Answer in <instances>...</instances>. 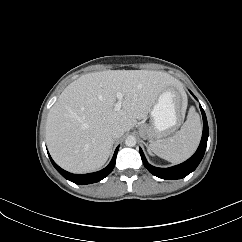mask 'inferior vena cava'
Masks as SVG:
<instances>
[{"mask_svg":"<svg viewBox=\"0 0 242 242\" xmlns=\"http://www.w3.org/2000/svg\"><path fill=\"white\" fill-rule=\"evenodd\" d=\"M124 134V130L120 126H114L110 129V135L113 139L120 138Z\"/></svg>","mask_w":242,"mask_h":242,"instance_id":"602c4592","label":"inferior vena cava"}]
</instances>
